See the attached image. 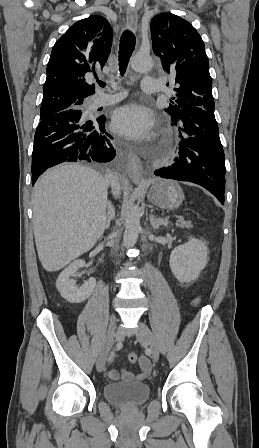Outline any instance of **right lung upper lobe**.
Returning <instances> with one entry per match:
<instances>
[{
  "mask_svg": "<svg viewBox=\"0 0 259 448\" xmlns=\"http://www.w3.org/2000/svg\"><path fill=\"white\" fill-rule=\"evenodd\" d=\"M113 30L102 16L73 24L55 43L47 65L40 115L60 112L95 93L87 80L102 68L111 51Z\"/></svg>",
  "mask_w": 259,
  "mask_h": 448,
  "instance_id": "1",
  "label": "right lung upper lobe"
}]
</instances>
